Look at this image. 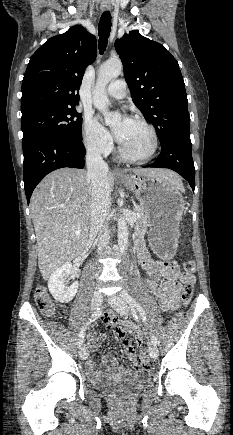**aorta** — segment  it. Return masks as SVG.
Instances as JSON below:
<instances>
[{
  "label": "aorta",
  "instance_id": "obj_1",
  "mask_svg": "<svg viewBox=\"0 0 233 435\" xmlns=\"http://www.w3.org/2000/svg\"><path fill=\"white\" fill-rule=\"evenodd\" d=\"M122 72V63L120 60L108 61L104 63L99 71L96 86L93 89L94 106L103 113L107 125L115 124L120 119L119 113L108 111L109 100L106 94V86L112 80L117 78ZM118 246L119 251L123 254L128 245L129 230L123 216L118 218Z\"/></svg>",
  "mask_w": 233,
  "mask_h": 435
}]
</instances>
